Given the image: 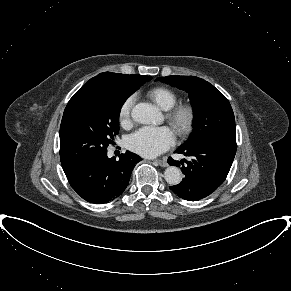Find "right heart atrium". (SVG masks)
I'll use <instances>...</instances> for the list:
<instances>
[{"label": "right heart atrium", "instance_id": "obj_1", "mask_svg": "<svg viewBox=\"0 0 291 291\" xmlns=\"http://www.w3.org/2000/svg\"><path fill=\"white\" fill-rule=\"evenodd\" d=\"M135 102V97L133 95L128 96L119 108L118 118L122 126H126L131 121V112Z\"/></svg>", "mask_w": 291, "mask_h": 291}]
</instances>
